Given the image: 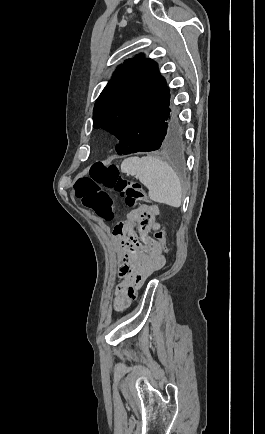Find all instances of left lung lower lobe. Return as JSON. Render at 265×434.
<instances>
[{
    "instance_id": "obj_1",
    "label": "left lung lower lobe",
    "mask_w": 265,
    "mask_h": 434,
    "mask_svg": "<svg viewBox=\"0 0 265 434\" xmlns=\"http://www.w3.org/2000/svg\"><path fill=\"white\" fill-rule=\"evenodd\" d=\"M170 112L160 125L151 126L135 136L120 141L115 147L117 153L126 155L136 152L157 154L182 152L186 147L184 132Z\"/></svg>"
}]
</instances>
